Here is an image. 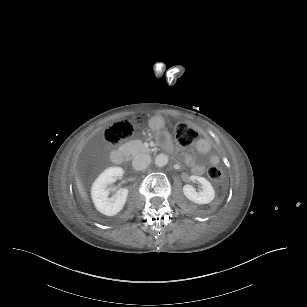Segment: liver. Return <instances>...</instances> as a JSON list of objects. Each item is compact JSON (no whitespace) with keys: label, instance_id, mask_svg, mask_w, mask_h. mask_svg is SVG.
<instances>
[{"label":"liver","instance_id":"liver-1","mask_svg":"<svg viewBox=\"0 0 307 307\" xmlns=\"http://www.w3.org/2000/svg\"><path fill=\"white\" fill-rule=\"evenodd\" d=\"M76 185H77V189L81 195V197L83 198L84 201L88 202V195L83 187V184L81 183L79 177L76 175Z\"/></svg>","mask_w":307,"mask_h":307}]
</instances>
